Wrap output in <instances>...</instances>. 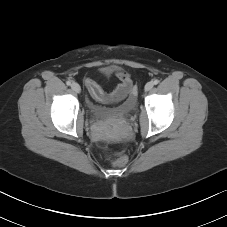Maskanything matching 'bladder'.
<instances>
[{
  "label": "bladder",
  "mask_w": 227,
  "mask_h": 227,
  "mask_svg": "<svg viewBox=\"0 0 227 227\" xmlns=\"http://www.w3.org/2000/svg\"><path fill=\"white\" fill-rule=\"evenodd\" d=\"M134 107H135V103L133 100L125 101L122 104L121 108L118 110L110 109L103 105L92 104V103L88 104V109L91 116L98 121L108 120L118 114H127L131 110H133Z\"/></svg>",
  "instance_id": "obj_1"
}]
</instances>
